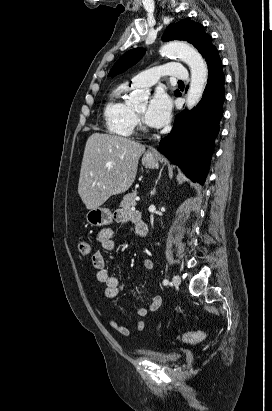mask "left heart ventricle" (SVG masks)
<instances>
[{
    "mask_svg": "<svg viewBox=\"0 0 272 411\" xmlns=\"http://www.w3.org/2000/svg\"><path fill=\"white\" fill-rule=\"evenodd\" d=\"M145 110H146V106H145V105H142V106H139V107L135 108V112H136L138 115H140V116H143V115H144Z\"/></svg>",
    "mask_w": 272,
    "mask_h": 411,
    "instance_id": "b2bd125f",
    "label": "left heart ventricle"
}]
</instances>
